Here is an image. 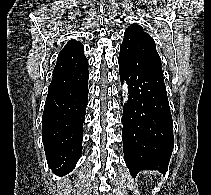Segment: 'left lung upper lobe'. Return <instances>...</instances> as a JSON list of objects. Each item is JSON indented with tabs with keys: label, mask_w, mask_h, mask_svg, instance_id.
Wrapping results in <instances>:
<instances>
[{
	"label": "left lung upper lobe",
	"mask_w": 211,
	"mask_h": 195,
	"mask_svg": "<svg viewBox=\"0 0 211 195\" xmlns=\"http://www.w3.org/2000/svg\"><path fill=\"white\" fill-rule=\"evenodd\" d=\"M120 55L130 64L146 67L164 80L161 58L156 51L155 42L143 31L142 26L132 24L126 29Z\"/></svg>",
	"instance_id": "5c2ea615"
}]
</instances>
